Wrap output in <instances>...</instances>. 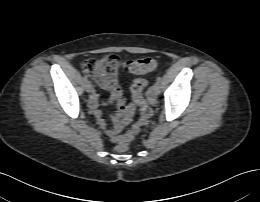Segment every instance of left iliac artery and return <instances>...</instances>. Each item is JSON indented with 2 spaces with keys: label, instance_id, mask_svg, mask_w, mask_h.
I'll return each mask as SVG.
<instances>
[{
  "label": "left iliac artery",
  "instance_id": "left-iliac-artery-1",
  "mask_svg": "<svg viewBox=\"0 0 260 202\" xmlns=\"http://www.w3.org/2000/svg\"><path fill=\"white\" fill-rule=\"evenodd\" d=\"M156 81H157V83H161L162 78H161L160 76H158L157 79H156Z\"/></svg>",
  "mask_w": 260,
  "mask_h": 202
}]
</instances>
